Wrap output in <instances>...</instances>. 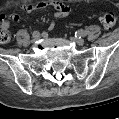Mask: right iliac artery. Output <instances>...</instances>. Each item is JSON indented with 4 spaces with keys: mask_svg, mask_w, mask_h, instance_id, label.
<instances>
[{
    "mask_svg": "<svg viewBox=\"0 0 119 119\" xmlns=\"http://www.w3.org/2000/svg\"><path fill=\"white\" fill-rule=\"evenodd\" d=\"M32 35H33V37H35V36H39L40 33L38 31H34Z\"/></svg>",
    "mask_w": 119,
    "mask_h": 119,
    "instance_id": "1",
    "label": "right iliac artery"
}]
</instances>
